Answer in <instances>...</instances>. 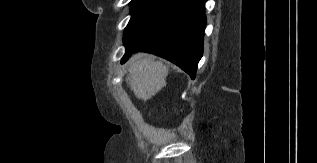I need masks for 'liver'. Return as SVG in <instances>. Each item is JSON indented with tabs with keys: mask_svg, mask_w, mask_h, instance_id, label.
Returning a JSON list of instances; mask_svg holds the SVG:
<instances>
[{
	"mask_svg": "<svg viewBox=\"0 0 317 163\" xmlns=\"http://www.w3.org/2000/svg\"><path fill=\"white\" fill-rule=\"evenodd\" d=\"M128 70L126 81L139 99L146 101L166 86L167 67L151 57L135 55L129 61Z\"/></svg>",
	"mask_w": 317,
	"mask_h": 163,
	"instance_id": "obj_1",
	"label": "liver"
}]
</instances>
